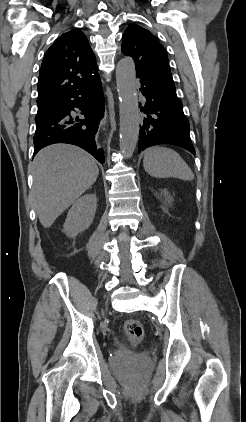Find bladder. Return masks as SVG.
Listing matches in <instances>:
<instances>
[{"label": "bladder", "instance_id": "bladder-1", "mask_svg": "<svg viewBox=\"0 0 246 422\" xmlns=\"http://www.w3.org/2000/svg\"><path fill=\"white\" fill-rule=\"evenodd\" d=\"M110 361L113 366L119 369H142L147 367L151 360L149 355L146 353L133 352L127 349L118 348L113 352Z\"/></svg>", "mask_w": 246, "mask_h": 422}]
</instances>
